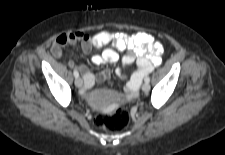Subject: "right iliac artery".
<instances>
[{"label": "right iliac artery", "instance_id": "1", "mask_svg": "<svg viewBox=\"0 0 225 155\" xmlns=\"http://www.w3.org/2000/svg\"><path fill=\"white\" fill-rule=\"evenodd\" d=\"M73 74H74V76H75L76 78L79 77V73H78L77 70H74Z\"/></svg>", "mask_w": 225, "mask_h": 155}]
</instances>
